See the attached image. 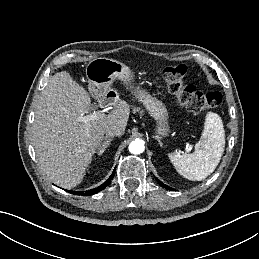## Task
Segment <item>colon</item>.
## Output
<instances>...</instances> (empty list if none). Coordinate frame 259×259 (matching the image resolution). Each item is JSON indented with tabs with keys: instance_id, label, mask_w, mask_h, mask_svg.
<instances>
[{
	"instance_id": "colon-1",
	"label": "colon",
	"mask_w": 259,
	"mask_h": 259,
	"mask_svg": "<svg viewBox=\"0 0 259 259\" xmlns=\"http://www.w3.org/2000/svg\"><path fill=\"white\" fill-rule=\"evenodd\" d=\"M187 67L184 64L166 66L162 71L167 91L177 101L192 112H201L219 106L222 101L220 92L203 93L193 84L184 81Z\"/></svg>"
}]
</instances>
